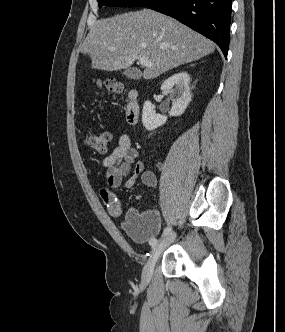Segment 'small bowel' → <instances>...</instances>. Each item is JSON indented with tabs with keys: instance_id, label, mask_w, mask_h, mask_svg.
<instances>
[{
	"instance_id": "small-bowel-1",
	"label": "small bowel",
	"mask_w": 285,
	"mask_h": 332,
	"mask_svg": "<svg viewBox=\"0 0 285 332\" xmlns=\"http://www.w3.org/2000/svg\"><path fill=\"white\" fill-rule=\"evenodd\" d=\"M132 165H134L132 174L124 183L127 190L134 187L139 177L145 186L152 189L157 187L156 175L154 172L145 169L144 163L138 159L137 149L132 146L130 136L127 133H122L119 136L117 146L102 161V167L105 169V177L110 189H102L100 196L109 214L113 217L121 216L124 206L120 196L112 189L119 188L123 184V180L130 173ZM131 213L133 212L129 214Z\"/></svg>"
}]
</instances>
